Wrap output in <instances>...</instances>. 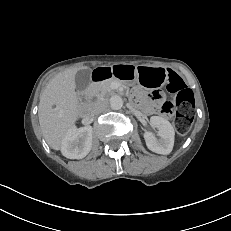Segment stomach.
I'll list each match as a JSON object with an SVG mask.
<instances>
[{"instance_id": "obj_1", "label": "stomach", "mask_w": 231, "mask_h": 231, "mask_svg": "<svg viewBox=\"0 0 231 231\" xmlns=\"http://www.w3.org/2000/svg\"><path fill=\"white\" fill-rule=\"evenodd\" d=\"M113 71L127 83L139 81L145 87L157 89L165 84L167 72L162 67L116 64Z\"/></svg>"}]
</instances>
